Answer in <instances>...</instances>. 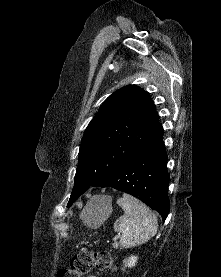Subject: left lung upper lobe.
Segmentation results:
<instances>
[{
	"label": "left lung upper lobe",
	"mask_w": 221,
	"mask_h": 277,
	"mask_svg": "<svg viewBox=\"0 0 221 277\" xmlns=\"http://www.w3.org/2000/svg\"><path fill=\"white\" fill-rule=\"evenodd\" d=\"M161 129L148 92L128 85L111 94L84 132L69 202L110 174Z\"/></svg>",
	"instance_id": "obj_1"
}]
</instances>
